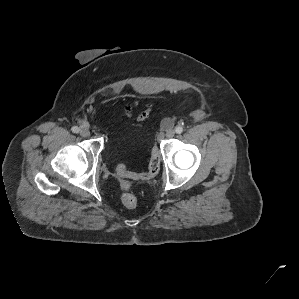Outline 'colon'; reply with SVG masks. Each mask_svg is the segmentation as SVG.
<instances>
[{
	"instance_id": "obj_1",
	"label": "colon",
	"mask_w": 299,
	"mask_h": 299,
	"mask_svg": "<svg viewBox=\"0 0 299 299\" xmlns=\"http://www.w3.org/2000/svg\"><path fill=\"white\" fill-rule=\"evenodd\" d=\"M161 166V154L158 149H153L150 155L148 168L145 172H134L127 169L124 165L118 168L119 175L121 176L120 186L122 189L121 200L128 208H133L137 204L136 196L130 192V183L127 179L133 180H147L159 173Z\"/></svg>"
}]
</instances>
